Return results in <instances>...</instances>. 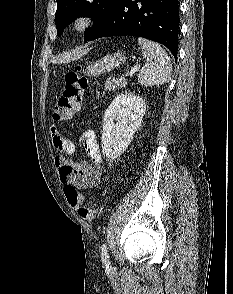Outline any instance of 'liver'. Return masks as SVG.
<instances>
[{"instance_id": "1", "label": "liver", "mask_w": 233, "mask_h": 294, "mask_svg": "<svg viewBox=\"0 0 233 294\" xmlns=\"http://www.w3.org/2000/svg\"><path fill=\"white\" fill-rule=\"evenodd\" d=\"M84 53H85V51H81V52H77L76 54L64 56L61 59H58V62H68V61H70V60H72V59L76 58L77 56H80Z\"/></svg>"}]
</instances>
